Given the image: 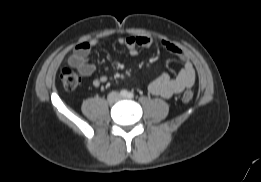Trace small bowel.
<instances>
[{"label":"small bowel","mask_w":261,"mask_h":182,"mask_svg":"<svg viewBox=\"0 0 261 182\" xmlns=\"http://www.w3.org/2000/svg\"><path fill=\"white\" fill-rule=\"evenodd\" d=\"M101 43L100 39L78 43L68 58V64L82 76L92 77L96 68L90 61V52L93 47ZM118 43L125 46L130 55L136 56L139 53V49L149 48L158 42L146 36H128L119 38ZM159 44L177 57L183 63V67L175 77H170L167 73H162L149 84L148 90L152 95L170 98L194 84L195 69L189 55L181 47L166 40L160 41ZM107 80V76L102 75L93 78L92 84L95 87H99L106 83Z\"/></svg>","instance_id":"1"}]
</instances>
